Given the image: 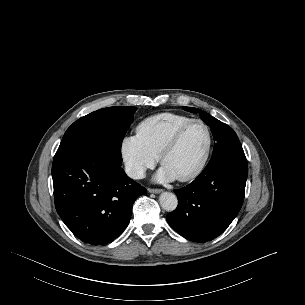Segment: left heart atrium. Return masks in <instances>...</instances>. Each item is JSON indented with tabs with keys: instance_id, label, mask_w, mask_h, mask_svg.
<instances>
[{
	"instance_id": "1",
	"label": "left heart atrium",
	"mask_w": 305,
	"mask_h": 305,
	"mask_svg": "<svg viewBox=\"0 0 305 305\" xmlns=\"http://www.w3.org/2000/svg\"><path fill=\"white\" fill-rule=\"evenodd\" d=\"M176 178H177L176 175L171 170H169L167 167H165L164 165L159 170V172L156 176V179L158 181H172Z\"/></svg>"
}]
</instances>
